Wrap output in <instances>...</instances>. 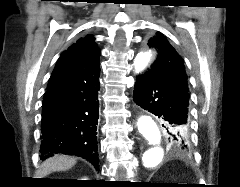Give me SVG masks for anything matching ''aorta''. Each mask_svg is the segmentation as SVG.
Here are the masks:
<instances>
[{"instance_id":"obj_1","label":"aorta","mask_w":240,"mask_h":187,"mask_svg":"<svg viewBox=\"0 0 240 187\" xmlns=\"http://www.w3.org/2000/svg\"><path fill=\"white\" fill-rule=\"evenodd\" d=\"M151 57L150 51L139 53L134 59L135 72L139 73L144 70ZM137 127L139 133L147 141V147L142 156L143 165L146 168H153L162 161L164 156L161 132L153 118L147 115L138 119Z\"/></svg>"}]
</instances>
